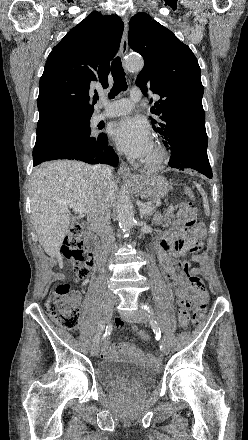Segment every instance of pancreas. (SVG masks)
Masks as SVG:
<instances>
[{
	"mask_svg": "<svg viewBox=\"0 0 248 440\" xmlns=\"http://www.w3.org/2000/svg\"><path fill=\"white\" fill-rule=\"evenodd\" d=\"M152 217V224L161 225L163 227H167L171 225L173 216V208H169L167 212L162 215L160 212L151 211L148 214H145L146 219H150Z\"/></svg>",
	"mask_w": 248,
	"mask_h": 440,
	"instance_id": "1",
	"label": "pancreas"
}]
</instances>
